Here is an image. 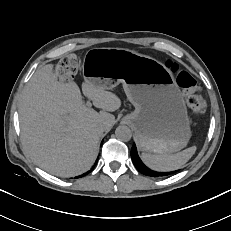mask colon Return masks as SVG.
Returning <instances> with one entry per match:
<instances>
[{"label": "colon", "mask_w": 231, "mask_h": 231, "mask_svg": "<svg viewBox=\"0 0 231 231\" xmlns=\"http://www.w3.org/2000/svg\"><path fill=\"white\" fill-rule=\"evenodd\" d=\"M167 66L177 73V83L185 92L186 102L195 119H197L204 108V100L201 90L198 88L194 77L185 70H180L178 64L168 61ZM78 70V62L73 56L63 57L57 64L56 71L65 78H72Z\"/></svg>", "instance_id": "colon-1"}]
</instances>
